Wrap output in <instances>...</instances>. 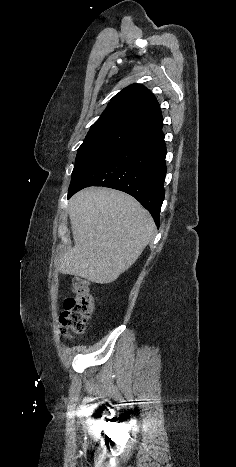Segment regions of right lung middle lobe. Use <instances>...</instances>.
Here are the masks:
<instances>
[{
	"label": "right lung middle lobe",
	"instance_id": "right-lung-middle-lobe-1",
	"mask_svg": "<svg viewBox=\"0 0 236 467\" xmlns=\"http://www.w3.org/2000/svg\"><path fill=\"white\" fill-rule=\"evenodd\" d=\"M137 135H139L137 131L123 127L90 128L84 142L78 149L70 186L75 184L96 163Z\"/></svg>",
	"mask_w": 236,
	"mask_h": 467
}]
</instances>
